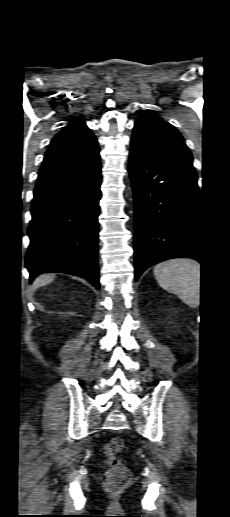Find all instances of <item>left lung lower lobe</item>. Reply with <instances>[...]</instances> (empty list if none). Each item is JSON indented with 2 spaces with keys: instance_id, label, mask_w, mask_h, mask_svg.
<instances>
[{
  "instance_id": "1",
  "label": "left lung lower lobe",
  "mask_w": 230,
  "mask_h": 517,
  "mask_svg": "<svg viewBox=\"0 0 230 517\" xmlns=\"http://www.w3.org/2000/svg\"><path fill=\"white\" fill-rule=\"evenodd\" d=\"M134 194L135 281L150 266L187 257L203 264L200 200L193 167L130 149Z\"/></svg>"
}]
</instances>
